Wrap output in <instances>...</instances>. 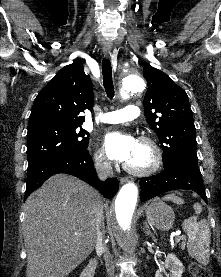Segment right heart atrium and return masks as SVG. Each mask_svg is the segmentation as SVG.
Instances as JSON below:
<instances>
[{
	"mask_svg": "<svg viewBox=\"0 0 221 277\" xmlns=\"http://www.w3.org/2000/svg\"><path fill=\"white\" fill-rule=\"evenodd\" d=\"M96 166L102 171H108L110 169V162L103 149H98L95 154Z\"/></svg>",
	"mask_w": 221,
	"mask_h": 277,
	"instance_id": "1",
	"label": "right heart atrium"
}]
</instances>
